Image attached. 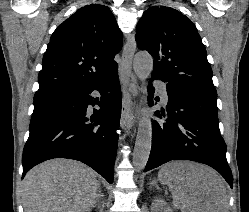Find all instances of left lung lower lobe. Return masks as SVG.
I'll return each mask as SVG.
<instances>
[{
  "mask_svg": "<svg viewBox=\"0 0 249 212\" xmlns=\"http://www.w3.org/2000/svg\"><path fill=\"white\" fill-rule=\"evenodd\" d=\"M154 79L164 81L152 73L151 81ZM166 88L168 104L166 111H155L160 119L152 121V148L144 172L171 160H191L211 166L232 187L227 147L218 125L217 97L182 86L167 84ZM148 93V103L153 106L151 82Z\"/></svg>",
  "mask_w": 249,
  "mask_h": 212,
  "instance_id": "1",
  "label": "left lung lower lobe"
}]
</instances>
